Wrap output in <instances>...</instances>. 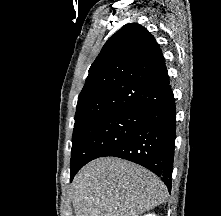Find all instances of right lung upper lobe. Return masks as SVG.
<instances>
[{
	"instance_id": "cb5924a9",
	"label": "right lung upper lobe",
	"mask_w": 221,
	"mask_h": 216,
	"mask_svg": "<svg viewBox=\"0 0 221 216\" xmlns=\"http://www.w3.org/2000/svg\"><path fill=\"white\" fill-rule=\"evenodd\" d=\"M170 90L164 57L139 24L122 27L105 43L78 97L75 125L120 110L146 112Z\"/></svg>"
}]
</instances>
